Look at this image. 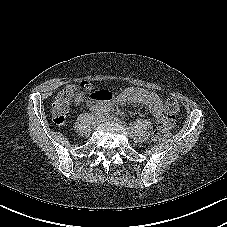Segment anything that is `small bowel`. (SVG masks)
Returning <instances> with one entry per match:
<instances>
[{
    "label": "small bowel",
    "mask_w": 227,
    "mask_h": 227,
    "mask_svg": "<svg viewBox=\"0 0 227 227\" xmlns=\"http://www.w3.org/2000/svg\"><path fill=\"white\" fill-rule=\"evenodd\" d=\"M117 101L120 104L125 103H140L143 104L148 111L152 114L155 121L159 125L171 126L172 122L164 114L163 104L159 96L149 90L142 88H127L122 91L118 97Z\"/></svg>",
    "instance_id": "1"
}]
</instances>
